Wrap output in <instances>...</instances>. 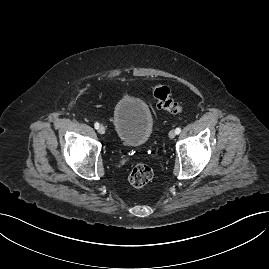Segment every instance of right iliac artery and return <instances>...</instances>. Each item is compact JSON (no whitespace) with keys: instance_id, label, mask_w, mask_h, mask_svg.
I'll use <instances>...</instances> for the list:
<instances>
[{"instance_id":"1","label":"right iliac artery","mask_w":269,"mask_h":269,"mask_svg":"<svg viewBox=\"0 0 269 269\" xmlns=\"http://www.w3.org/2000/svg\"><path fill=\"white\" fill-rule=\"evenodd\" d=\"M94 127H95V129H98V128H99V123L96 122V123L94 124Z\"/></svg>"}]
</instances>
